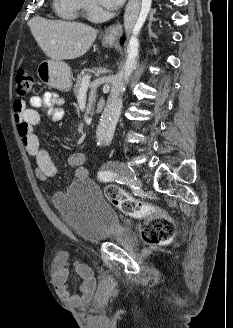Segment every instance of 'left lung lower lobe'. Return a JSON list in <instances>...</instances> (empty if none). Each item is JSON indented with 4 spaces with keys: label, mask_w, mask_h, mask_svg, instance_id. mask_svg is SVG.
Listing matches in <instances>:
<instances>
[{
    "label": "left lung lower lobe",
    "mask_w": 233,
    "mask_h": 328,
    "mask_svg": "<svg viewBox=\"0 0 233 328\" xmlns=\"http://www.w3.org/2000/svg\"><path fill=\"white\" fill-rule=\"evenodd\" d=\"M121 42L123 43L124 42V39H122Z\"/></svg>",
    "instance_id": "1"
}]
</instances>
